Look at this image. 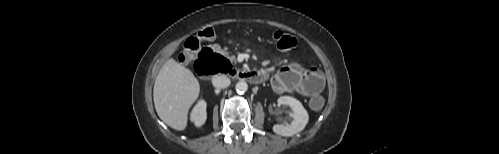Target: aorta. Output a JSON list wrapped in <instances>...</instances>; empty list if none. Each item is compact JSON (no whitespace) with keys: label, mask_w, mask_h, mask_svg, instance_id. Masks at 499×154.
Here are the masks:
<instances>
[{"label":"aorta","mask_w":499,"mask_h":154,"mask_svg":"<svg viewBox=\"0 0 499 154\" xmlns=\"http://www.w3.org/2000/svg\"><path fill=\"white\" fill-rule=\"evenodd\" d=\"M236 92L243 94L248 90V84L245 81H239L235 86Z\"/></svg>","instance_id":"762f6f07"}]
</instances>
